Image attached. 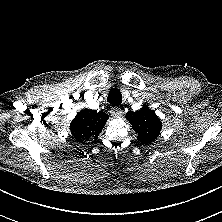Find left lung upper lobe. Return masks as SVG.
Segmentation results:
<instances>
[{
    "label": "left lung upper lobe",
    "mask_w": 222,
    "mask_h": 222,
    "mask_svg": "<svg viewBox=\"0 0 222 222\" xmlns=\"http://www.w3.org/2000/svg\"><path fill=\"white\" fill-rule=\"evenodd\" d=\"M126 118L137 133V139L141 143L148 144L159 136L162 123L149 107L143 106L136 112L129 111L126 113Z\"/></svg>",
    "instance_id": "5c2ea615"
}]
</instances>
